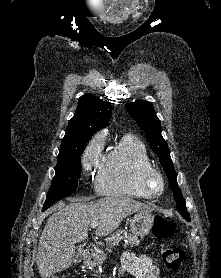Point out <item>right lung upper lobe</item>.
<instances>
[{
  "instance_id": "obj_1",
  "label": "right lung upper lobe",
  "mask_w": 221,
  "mask_h": 278,
  "mask_svg": "<svg viewBox=\"0 0 221 278\" xmlns=\"http://www.w3.org/2000/svg\"><path fill=\"white\" fill-rule=\"evenodd\" d=\"M111 112L112 106L109 103L91 94L81 96L76 113L69 121L60 151L87 143L95 132L108 124Z\"/></svg>"
}]
</instances>
